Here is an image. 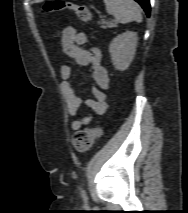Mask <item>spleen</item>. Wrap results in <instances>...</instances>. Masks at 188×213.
I'll use <instances>...</instances> for the list:
<instances>
[{
    "instance_id": "obj_1",
    "label": "spleen",
    "mask_w": 188,
    "mask_h": 213,
    "mask_svg": "<svg viewBox=\"0 0 188 213\" xmlns=\"http://www.w3.org/2000/svg\"><path fill=\"white\" fill-rule=\"evenodd\" d=\"M107 13L120 23L142 21L141 8L134 0H104Z\"/></svg>"
}]
</instances>
